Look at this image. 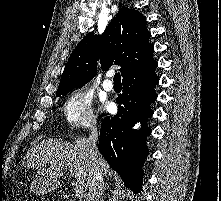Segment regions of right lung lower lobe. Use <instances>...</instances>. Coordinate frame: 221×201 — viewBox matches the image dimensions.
Segmentation results:
<instances>
[{
	"instance_id": "1",
	"label": "right lung lower lobe",
	"mask_w": 221,
	"mask_h": 201,
	"mask_svg": "<svg viewBox=\"0 0 221 201\" xmlns=\"http://www.w3.org/2000/svg\"><path fill=\"white\" fill-rule=\"evenodd\" d=\"M155 62L146 70L123 79V92L116 102L118 113L105 117L100 129L98 149L108 164L123 179L126 187L139 193L142 189V165L149 154L145 144L151 133L147 119L153 111L150 104L157 98L154 87L159 82ZM141 122L140 130L132 127Z\"/></svg>"
}]
</instances>
